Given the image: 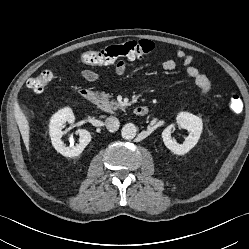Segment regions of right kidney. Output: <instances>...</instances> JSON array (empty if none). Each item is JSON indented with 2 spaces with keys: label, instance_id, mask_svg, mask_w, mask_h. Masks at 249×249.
<instances>
[{
  "label": "right kidney",
  "instance_id": "ca27d5eb",
  "mask_svg": "<svg viewBox=\"0 0 249 249\" xmlns=\"http://www.w3.org/2000/svg\"><path fill=\"white\" fill-rule=\"evenodd\" d=\"M75 120V116L71 109L64 108L55 113L49 124V132L52 141L53 147L65 157H75L82 153L84 148L91 141V135L87 130L78 129L76 133L79 135V144L74 147H67L62 141V136L65 132L62 129L65 126V123L68 122L72 124Z\"/></svg>",
  "mask_w": 249,
  "mask_h": 249
}]
</instances>
